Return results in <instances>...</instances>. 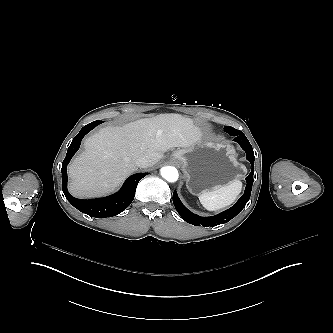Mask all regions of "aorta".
<instances>
[{"mask_svg": "<svg viewBox=\"0 0 333 333\" xmlns=\"http://www.w3.org/2000/svg\"><path fill=\"white\" fill-rule=\"evenodd\" d=\"M161 176L168 182H176L178 180V171L173 166H166L161 168Z\"/></svg>", "mask_w": 333, "mask_h": 333, "instance_id": "762f6f07", "label": "aorta"}]
</instances>
